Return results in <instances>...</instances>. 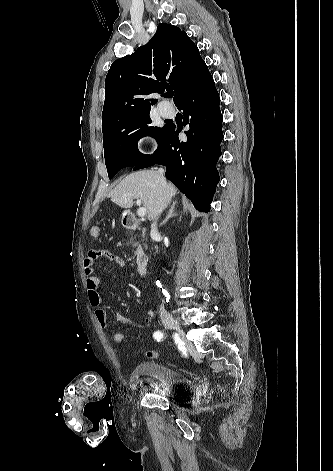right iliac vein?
<instances>
[{"mask_svg":"<svg viewBox=\"0 0 333 471\" xmlns=\"http://www.w3.org/2000/svg\"><path fill=\"white\" fill-rule=\"evenodd\" d=\"M161 321L167 329L176 330L180 334L182 340L183 341L186 340L185 332L183 331V329L180 326L179 322L175 318H173L170 314H164L161 317Z\"/></svg>","mask_w":333,"mask_h":471,"instance_id":"1","label":"right iliac vein"}]
</instances>
